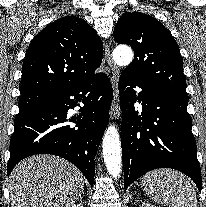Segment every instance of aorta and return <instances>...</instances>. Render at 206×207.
I'll list each match as a JSON object with an SVG mask.
<instances>
[{
    "instance_id": "762f6f07",
    "label": "aorta",
    "mask_w": 206,
    "mask_h": 207,
    "mask_svg": "<svg viewBox=\"0 0 206 207\" xmlns=\"http://www.w3.org/2000/svg\"><path fill=\"white\" fill-rule=\"evenodd\" d=\"M113 60L119 66L129 65L133 60V51L128 46H118L113 51ZM103 157L107 171L117 178L121 172V143L117 128L110 125L103 137Z\"/></svg>"
}]
</instances>
